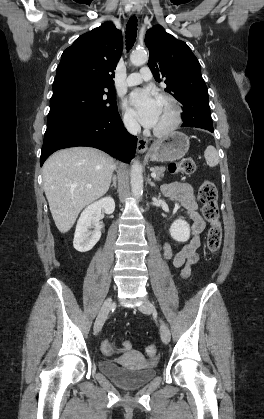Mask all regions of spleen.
<instances>
[{"mask_svg": "<svg viewBox=\"0 0 264 419\" xmlns=\"http://www.w3.org/2000/svg\"><path fill=\"white\" fill-rule=\"evenodd\" d=\"M204 157L207 165L210 167H215L219 163L218 153L214 146H207L204 152Z\"/></svg>", "mask_w": 264, "mask_h": 419, "instance_id": "spleen-1", "label": "spleen"}]
</instances>
